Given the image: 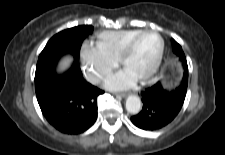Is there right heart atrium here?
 I'll list each match as a JSON object with an SVG mask.
<instances>
[{
  "mask_svg": "<svg viewBox=\"0 0 225 155\" xmlns=\"http://www.w3.org/2000/svg\"><path fill=\"white\" fill-rule=\"evenodd\" d=\"M79 56L83 73L92 83L102 81L117 65V60L87 44L81 47Z\"/></svg>",
  "mask_w": 225,
  "mask_h": 155,
  "instance_id": "obj_1",
  "label": "right heart atrium"
}]
</instances>
